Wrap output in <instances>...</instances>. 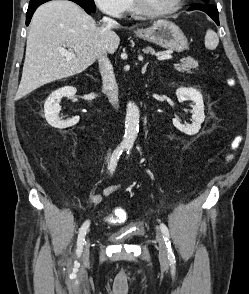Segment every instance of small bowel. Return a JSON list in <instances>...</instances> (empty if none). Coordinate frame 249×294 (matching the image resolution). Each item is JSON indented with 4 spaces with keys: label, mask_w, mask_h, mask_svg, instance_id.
I'll use <instances>...</instances> for the list:
<instances>
[{
    "label": "small bowel",
    "mask_w": 249,
    "mask_h": 294,
    "mask_svg": "<svg viewBox=\"0 0 249 294\" xmlns=\"http://www.w3.org/2000/svg\"><path fill=\"white\" fill-rule=\"evenodd\" d=\"M122 187L121 184H112L109 186L104 187L99 193L93 194L90 197V203L93 206L100 205L106 198L111 196L113 193L120 190ZM120 213H122V210H115L109 217L108 220L114 224H120L123 221H125V216H118Z\"/></svg>",
    "instance_id": "small-bowel-1"
}]
</instances>
